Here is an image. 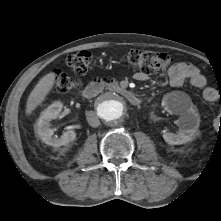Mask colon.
Segmentation results:
<instances>
[{
	"label": "colon",
	"instance_id": "colon-1",
	"mask_svg": "<svg viewBox=\"0 0 221 221\" xmlns=\"http://www.w3.org/2000/svg\"><path fill=\"white\" fill-rule=\"evenodd\" d=\"M126 59L128 63L137 71L146 75H160L170 65L171 57L169 54L154 52L131 50L127 53ZM92 62V53L89 50H82L68 57L67 65L77 75L85 74ZM81 82L68 74L59 70L54 72V88L60 93H69L78 89ZM221 104V97H220Z\"/></svg>",
	"mask_w": 221,
	"mask_h": 221
}]
</instances>
